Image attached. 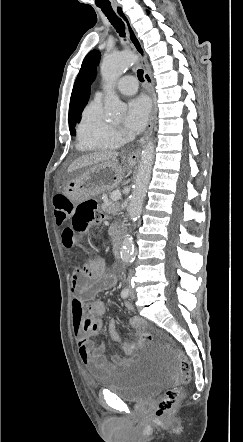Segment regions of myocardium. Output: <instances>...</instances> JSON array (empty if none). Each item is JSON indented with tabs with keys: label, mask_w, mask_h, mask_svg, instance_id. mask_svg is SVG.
Returning a JSON list of instances; mask_svg holds the SVG:
<instances>
[{
	"label": "myocardium",
	"mask_w": 243,
	"mask_h": 442,
	"mask_svg": "<svg viewBox=\"0 0 243 442\" xmlns=\"http://www.w3.org/2000/svg\"><path fill=\"white\" fill-rule=\"evenodd\" d=\"M110 128H111V133L113 134V136H115L116 138L119 139V133H120L119 126H116L114 124H110Z\"/></svg>",
	"instance_id": "obj_1"
}]
</instances>
